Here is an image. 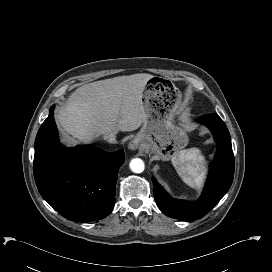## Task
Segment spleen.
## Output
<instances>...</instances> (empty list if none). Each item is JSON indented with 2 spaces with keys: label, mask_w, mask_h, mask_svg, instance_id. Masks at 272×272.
<instances>
[{
  "label": "spleen",
  "mask_w": 272,
  "mask_h": 272,
  "mask_svg": "<svg viewBox=\"0 0 272 272\" xmlns=\"http://www.w3.org/2000/svg\"><path fill=\"white\" fill-rule=\"evenodd\" d=\"M172 164L182 180L192 188L200 189L206 174L205 157L198 148L178 151Z\"/></svg>",
  "instance_id": "1"
}]
</instances>
